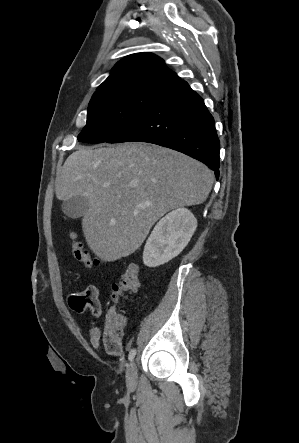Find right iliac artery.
Wrapping results in <instances>:
<instances>
[{
	"label": "right iliac artery",
	"mask_w": 299,
	"mask_h": 443,
	"mask_svg": "<svg viewBox=\"0 0 299 443\" xmlns=\"http://www.w3.org/2000/svg\"><path fill=\"white\" fill-rule=\"evenodd\" d=\"M135 355H136V350H135V349H132V350L129 352V356H128L129 361H132V360L134 359Z\"/></svg>",
	"instance_id": "1"
}]
</instances>
